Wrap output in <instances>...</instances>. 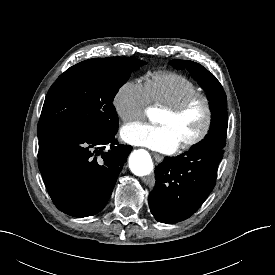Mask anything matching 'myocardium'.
<instances>
[{"mask_svg": "<svg viewBox=\"0 0 275 275\" xmlns=\"http://www.w3.org/2000/svg\"><path fill=\"white\" fill-rule=\"evenodd\" d=\"M197 100H201L204 104L205 120H204L202 128L195 136H193L192 138L179 144L178 148L181 150H186V149H189V148L197 145L209 133L210 128L212 126L213 117H214V108H213L212 101L207 94L197 91V92H194V93H191V94L185 96L183 99H181L180 101H178L172 105L163 107V110L168 111L172 115H179L184 110H186L193 102H195Z\"/></svg>", "mask_w": 275, "mask_h": 275, "instance_id": "myocardium-1", "label": "myocardium"}]
</instances>
